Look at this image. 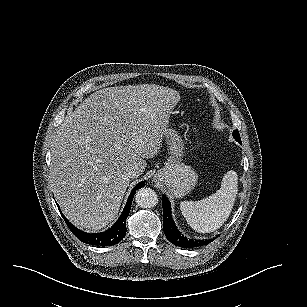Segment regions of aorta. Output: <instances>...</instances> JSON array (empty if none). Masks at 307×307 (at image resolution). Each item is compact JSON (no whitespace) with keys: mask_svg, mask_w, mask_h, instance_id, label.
Instances as JSON below:
<instances>
[{"mask_svg":"<svg viewBox=\"0 0 307 307\" xmlns=\"http://www.w3.org/2000/svg\"><path fill=\"white\" fill-rule=\"evenodd\" d=\"M135 201L141 208H151L158 203V196L151 188H141L135 194Z\"/></svg>","mask_w":307,"mask_h":307,"instance_id":"1","label":"aorta"}]
</instances>
